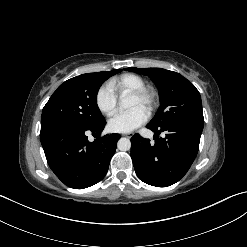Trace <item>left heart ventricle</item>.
Listing matches in <instances>:
<instances>
[{"label": "left heart ventricle", "instance_id": "left-heart-ventricle-1", "mask_svg": "<svg viewBox=\"0 0 247 247\" xmlns=\"http://www.w3.org/2000/svg\"><path fill=\"white\" fill-rule=\"evenodd\" d=\"M137 106L144 108L143 104L138 99L131 96L129 101V107L134 108Z\"/></svg>", "mask_w": 247, "mask_h": 247}]
</instances>
